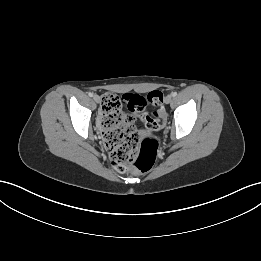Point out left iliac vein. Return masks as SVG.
<instances>
[{
	"label": "left iliac vein",
	"mask_w": 261,
	"mask_h": 261,
	"mask_svg": "<svg viewBox=\"0 0 261 261\" xmlns=\"http://www.w3.org/2000/svg\"><path fill=\"white\" fill-rule=\"evenodd\" d=\"M164 102H165L166 104L171 103V102H172V95H167V96L165 97V99H164Z\"/></svg>",
	"instance_id": "1"
}]
</instances>
